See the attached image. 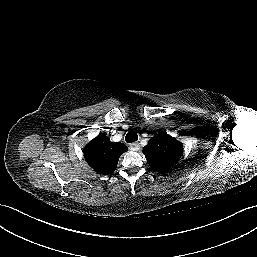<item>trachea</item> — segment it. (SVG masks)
<instances>
[{
    "instance_id": "3493384b",
    "label": "trachea",
    "mask_w": 257,
    "mask_h": 257,
    "mask_svg": "<svg viewBox=\"0 0 257 257\" xmlns=\"http://www.w3.org/2000/svg\"><path fill=\"white\" fill-rule=\"evenodd\" d=\"M125 140L127 143H132L138 140V135L136 134L135 131H129L126 134Z\"/></svg>"
}]
</instances>
